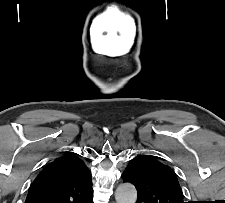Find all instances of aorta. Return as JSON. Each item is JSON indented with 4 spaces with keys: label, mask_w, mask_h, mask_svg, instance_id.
Instances as JSON below:
<instances>
[{
    "label": "aorta",
    "mask_w": 225,
    "mask_h": 203,
    "mask_svg": "<svg viewBox=\"0 0 225 203\" xmlns=\"http://www.w3.org/2000/svg\"><path fill=\"white\" fill-rule=\"evenodd\" d=\"M116 203H135L137 191L134 185L130 183L120 184L115 192Z\"/></svg>",
    "instance_id": "762f6f07"
}]
</instances>
